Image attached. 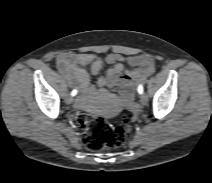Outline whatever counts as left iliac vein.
I'll list each match as a JSON object with an SVG mask.
<instances>
[{
  "label": "left iliac vein",
  "instance_id": "obj_1",
  "mask_svg": "<svg viewBox=\"0 0 212 183\" xmlns=\"http://www.w3.org/2000/svg\"><path fill=\"white\" fill-rule=\"evenodd\" d=\"M148 102V96L144 93L140 96V103L141 105H146Z\"/></svg>",
  "mask_w": 212,
  "mask_h": 183
}]
</instances>
